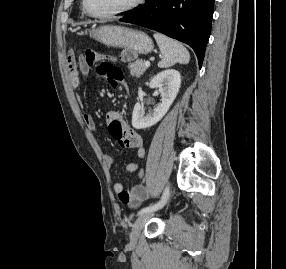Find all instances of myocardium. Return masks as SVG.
Wrapping results in <instances>:
<instances>
[{
    "instance_id": "1",
    "label": "myocardium",
    "mask_w": 286,
    "mask_h": 269,
    "mask_svg": "<svg viewBox=\"0 0 286 269\" xmlns=\"http://www.w3.org/2000/svg\"><path fill=\"white\" fill-rule=\"evenodd\" d=\"M146 0H132L129 4H127L125 7H122L120 9H117L115 11L105 13V14H94L92 13L89 8H88V3L87 0H82V5L85 13L96 19H109V18H114L122 14L129 13L136 8H138L140 5H142Z\"/></svg>"
}]
</instances>
